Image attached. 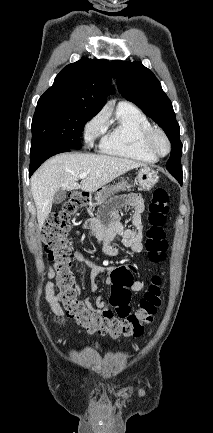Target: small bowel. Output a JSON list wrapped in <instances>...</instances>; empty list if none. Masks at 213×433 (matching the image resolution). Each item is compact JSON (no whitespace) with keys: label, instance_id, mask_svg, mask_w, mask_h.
Wrapping results in <instances>:
<instances>
[{"label":"small bowel","instance_id":"small-bowel-1","mask_svg":"<svg viewBox=\"0 0 213 433\" xmlns=\"http://www.w3.org/2000/svg\"><path fill=\"white\" fill-rule=\"evenodd\" d=\"M124 206L132 208L133 214L131 217L132 227H125L120 221L118 209ZM144 200L140 194H131L127 198L114 202L111 209L103 212L99 218L88 219L83 224V229L90 230L95 240L101 245L102 252L108 257H116L120 254V249L113 244L116 238H119L125 248L132 253H140L143 251V231H142V214L144 212ZM79 235V231L76 232ZM73 262L81 263L90 270V291L98 290V277L105 275V283L112 285L111 276L117 268L105 260L101 264L87 257L84 253L73 251L71 253ZM132 269L133 274L136 272L134 266H128ZM56 277L54 267H50L47 271L48 281L45 285V299L48 302L50 309L56 315H64V311L60 305L59 298L55 293V284L51 281ZM77 291L81 289L80 284H76ZM144 289V283L141 280H134L130 286L133 292H140ZM85 304L98 312L112 311V306L107 303L102 295L96 297L95 300L88 296L85 299Z\"/></svg>","mask_w":213,"mask_h":433}]
</instances>
